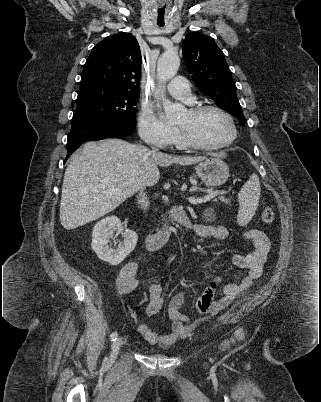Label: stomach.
I'll use <instances>...</instances> for the list:
<instances>
[{
    "instance_id": "obj_1",
    "label": "stomach",
    "mask_w": 321,
    "mask_h": 402,
    "mask_svg": "<svg viewBox=\"0 0 321 402\" xmlns=\"http://www.w3.org/2000/svg\"><path fill=\"white\" fill-rule=\"evenodd\" d=\"M199 178L207 186H220L229 177L228 165L218 158L207 159L195 167Z\"/></svg>"
}]
</instances>
